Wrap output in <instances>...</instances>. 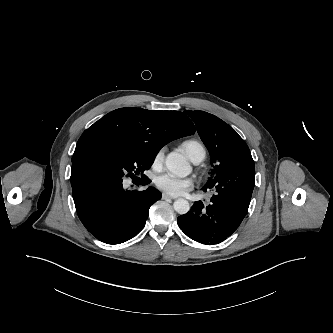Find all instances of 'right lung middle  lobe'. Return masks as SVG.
<instances>
[{
	"mask_svg": "<svg viewBox=\"0 0 333 333\" xmlns=\"http://www.w3.org/2000/svg\"><path fill=\"white\" fill-rule=\"evenodd\" d=\"M157 151L110 140H92L82 144L76 150V158L102 166L112 175L135 179L148 170ZM139 179V178H138Z\"/></svg>",
	"mask_w": 333,
	"mask_h": 333,
	"instance_id": "dd1d6c3e",
	"label": "right lung middle lobe"
}]
</instances>
